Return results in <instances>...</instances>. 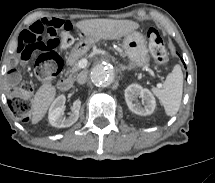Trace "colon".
Here are the masks:
<instances>
[{
    "label": "colon",
    "mask_w": 215,
    "mask_h": 183,
    "mask_svg": "<svg viewBox=\"0 0 215 183\" xmlns=\"http://www.w3.org/2000/svg\"><path fill=\"white\" fill-rule=\"evenodd\" d=\"M69 31L70 23L65 18L47 17L33 22L30 29L25 30L20 36L18 47L20 59L27 60L36 55V76L43 80L52 79L61 67L57 50H67L73 44ZM147 39L153 57L164 69H168L169 56L160 33L151 28L147 32ZM32 90L31 84L23 83L10 93V108L22 121H29L31 117Z\"/></svg>",
    "instance_id": "colon-1"
}]
</instances>
